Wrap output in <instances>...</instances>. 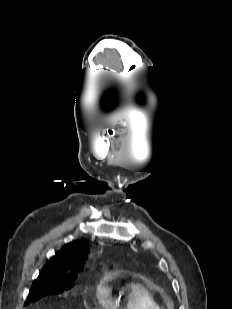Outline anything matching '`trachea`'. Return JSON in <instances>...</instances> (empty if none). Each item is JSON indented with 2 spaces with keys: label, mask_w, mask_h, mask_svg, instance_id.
<instances>
[{
  "label": "trachea",
  "mask_w": 232,
  "mask_h": 309,
  "mask_svg": "<svg viewBox=\"0 0 232 309\" xmlns=\"http://www.w3.org/2000/svg\"><path fill=\"white\" fill-rule=\"evenodd\" d=\"M110 134L112 135V134H113V132H112V131H110Z\"/></svg>",
  "instance_id": "obj_1"
}]
</instances>
